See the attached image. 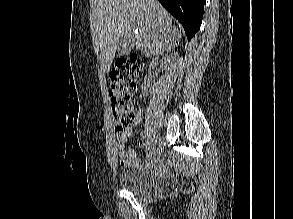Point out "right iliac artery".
Here are the masks:
<instances>
[{
  "mask_svg": "<svg viewBox=\"0 0 293 219\" xmlns=\"http://www.w3.org/2000/svg\"><path fill=\"white\" fill-rule=\"evenodd\" d=\"M152 137L151 133L146 134L147 141Z\"/></svg>",
  "mask_w": 293,
  "mask_h": 219,
  "instance_id": "right-iliac-artery-1",
  "label": "right iliac artery"
}]
</instances>
